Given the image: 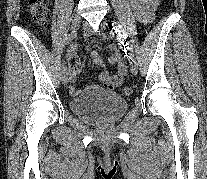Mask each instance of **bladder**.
Here are the masks:
<instances>
[{
	"mask_svg": "<svg viewBox=\"0 0 207 179\" xmlns=\"http://www.w3.org/2000/svg\"><path fill=\"white\" fill-rule=\"evenodd\" d=\"M75 115L92 123L112 122L124 115L128 101L118 94L90 85L70 102Z\"/></svg>",
	"mask_w": 207,
	"mask_h": 179,
	"instance_id": "obj_1",
	"label": "bladder"
}]
</instances>
